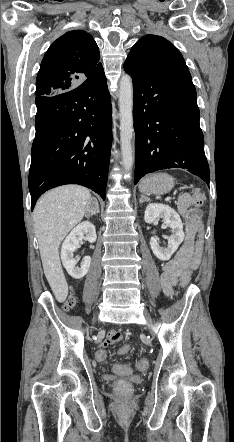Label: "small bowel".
Wrapping results in <instances>:
<instances>
[{"instance_id":"c3829d8e","label":"small bowel","mask_w":234,"mask_h":442,"mask_svg":"<svg viewBox=\"0 0 234 442\" xmlns=\"http://www.w3.org/2000/svg\"><path fill=\"white\" fill-rule=\"evenodd\" d=\"M189 206L190 196L187 194L182 195L178 201V210L186 221L187 241L175 253L173 258L168 260L163 266V272L161 274V284L164 293L167 295H171L173 293V288L177 282L178 277L182 273L193 268L191 266L193 256L191 241L199 227L200 215L198 212L190 210ZM121 339L122 337L120 333L112 331L106 337L102 347L107 348L111 344L120 342Z\"/></svg>"}]
</instances>
